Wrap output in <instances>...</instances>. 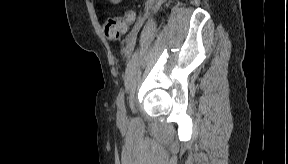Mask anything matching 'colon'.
Masks as SVG:
<instances>
[{
	"instance_id": "colon-1",
	"label": "colon",
	"mask_w": 288,
	"mask_h": 164,
	"mask_svg": "<svg viewBox=\"0 0 288 164\" xmlns=\"http://www.w3.org/2000/svg\"><path fill=\"white\" fill-rule=\"evenodd\" d=\"M135 17L131 9L125 10L121 16H110L102 23L104 34L108 40L115 41L125 35Z\"/></svg>"
}]
</instances>
